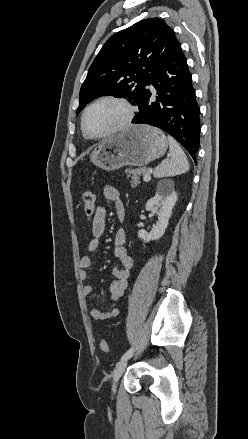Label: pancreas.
<instances>
[{"label": "pancreas", "instance_id": "pancreas-1", "mask_svg": "<svg viewBox=\"0 0 248 439\" xmlns=\"http://www.w3.org/2000/svg\"><path fill=\"white\" fill-rule=\"evenodd\" d=\"M146 172V168L128 169L126 173L128 177L131 176V186L136 187L138 184H140V176L142 174H146Z\"/></svg>", "mask_w": 248, "mask_h": 439}]
</instances>
